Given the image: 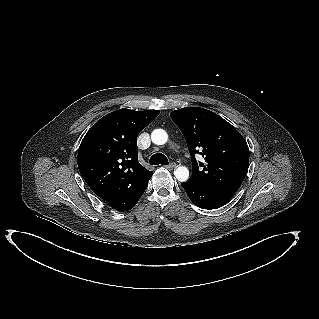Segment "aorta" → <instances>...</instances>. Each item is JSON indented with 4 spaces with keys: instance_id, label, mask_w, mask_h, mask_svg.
Here are the masks:
<instances>
[{
    "instance_id": "obj_1",
    "label": "aorta",
    "mask_w": 319,
    "mask_h": 319,
    "mask_svg": "<svg viewBox=\"0 0 319 319\" xmlns=\"http://www.w3.org/2000/svg\"><path fill=\"white\" fill-rule=\"evenodd\" d=\"M151 140L156 145H163L168 141V134L163 129H155L151 133ZM174 175L180 182H186L189 179V170L185 166H179L175 169Z\"/></svg>"
}]
</instances>
